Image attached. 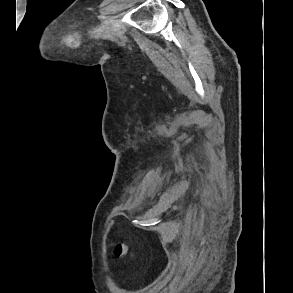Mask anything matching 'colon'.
<instances>
[{"label":"colon","mask_w":293,"mask_h":293,"mask_svg":"<svg viewBox=\"0 0 293 293\" xmlns=\"http://www.w3.org/2000/svg\"><path fill=\"white\" fill-rule=\"evenodd\" d=\"M113 250L114 254L118 257L124 256L129 252L128 246L124 243H117Z\"/></svg>","instance_id":"colon-1"}]
</instances>
